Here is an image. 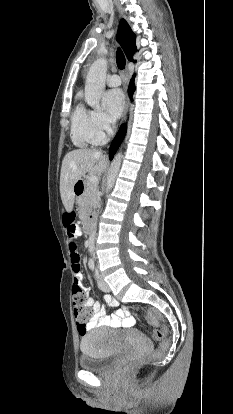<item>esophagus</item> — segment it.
<instances>
[{
	"label": "esophagus",
	"instance_id": "esophagus-1",
	"mask_svg": "<svg viewBox=\"0 0 233 414\" xmlns=\"http://www.w3.org/2000/svg\"><path fill=\"white\" fill-rule=\"evenodd\" d=\"M129 109H130V99H129V97L127 96V97H126V105H125V116H124V122H126V120H127Z\"/></svg>",
	"mask_w": 233,
	"mask_h": 414
}]
</instances>
